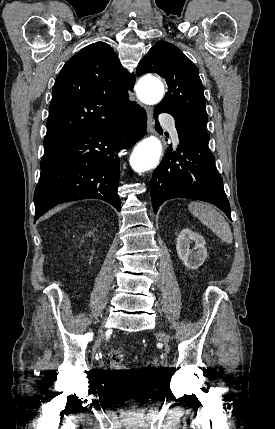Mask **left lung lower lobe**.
I'll return each mask as SVG.
<instances>
[{"mask_svg":"<svg viewBox=\"0 0 275 429\" xmlns=\"http://www.w3.org/2000/svg\"><path fill=\"white\" fill-rule=\"evenodd\" d=\"M165 112L155 107L154 118ZM179 137L177 152L168 148L151 179V200L155 214L159 206L173 198H189L212 203L231 220V209L224 192L222 177L215 166L214 155L208 148L209 138L177 123ZM156 130L163 133L159 123Z\"/></svg>","mask_w":275,"mask_h":429,"instance_id":"0a47b994","label":"left lung lower lobe"}]
</instances>
